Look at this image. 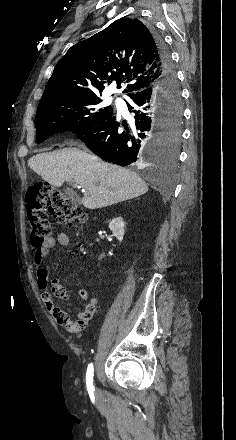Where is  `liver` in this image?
<instances>
[{"label":"liver","instance_id":"6515ba94","mask_svg":"<svg viewBox=\"0 0 236 440\" xmlns=\"http://www.w3.org/2000/svg\"><path fill=\"white\" fill-rule=\"evenodd\" d=\"M28 165L54 187L65 181L79 184L85 191L82 204L88 209L117 204L148 191L136 173L74 147L36 154Z\"/></svg>","mask_w":236,"mask_h":440}]
</instances>
